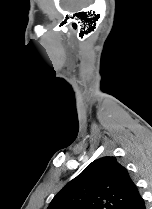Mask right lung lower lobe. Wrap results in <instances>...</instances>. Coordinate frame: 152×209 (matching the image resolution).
Masks as SVG:
<instances>
[{
	"label": "right lung lower lobe",
	"instance_id": "obj_1",
	"mask_svg": "<svg viewBox=\"0 0 152 209\" xmlns=\"http://www.w3.org/2000/svg\"><path fill=\"white\" fill-rule=\"evenodd\" d=\"M123 209H146L145 202L139 191L132 197L131 201Z\"/></svg>",
	"mask_w": 152,
	"mask_h": 209
}]
</instances>
